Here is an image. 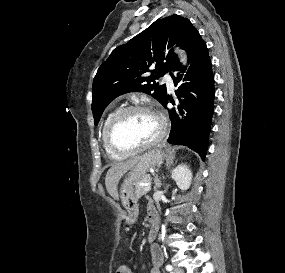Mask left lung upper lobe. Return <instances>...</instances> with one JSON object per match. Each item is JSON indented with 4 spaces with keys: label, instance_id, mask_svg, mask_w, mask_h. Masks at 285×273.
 I'll return each instance as SVG.
<instances>
[{
    "label": "left lung upper lobe",
    "instance_id": "obj_1",
    "mask_svg": "<svg viewBox=\"0 0 285 273\" xmlns=\"http://www.w3.org/2000/svg\"><path fill=\"white\" fill-rule=\"evenodd\" d=\"M195 30L187 18L174 14L156 20L128 43L117 47L101 65L93 81L92 112L95 125L108 104L128 92H144L162 103L167 96L166 86H159L155 79L172 71L179 62L169 48L177 44L186 49ZM150 66L155 69L151 75H147Z\"/></svg>",
    "mask_w": 285,
    "mask_h": 273
}]
</instances>
